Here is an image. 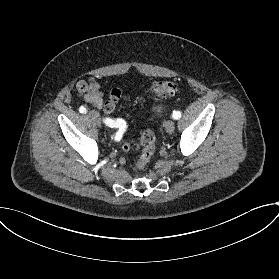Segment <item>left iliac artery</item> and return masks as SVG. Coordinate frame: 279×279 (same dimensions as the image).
I'll list each match as a JSON object with an SVG mask.
<instances>
[{
	"instance_id": "left-iliac-artery-1",
	"label": "left iliac artery",
	"mask_w": 279,
	"mask_h": 279,
	"mask_svg": "<svg viewBox=\"0 0 279 279\" xmlns=\"http://www.w3.org/2000/svg\"><path fill=\"white\" fill-rule=\"evenodd\" d=\"M172 117H173L175 120H178V119H180V117H181V113H180L179 111H173Z\"/></svg>"
}]
</instances>
